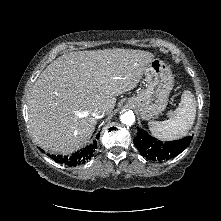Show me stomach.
I'll return each mask as SVG.
<instances>
[{"label":"stomach","mask_w":221,"mask_h":221,"mask_svg":"<svg viewBox=\"0 0 221 221\" xmlns=\"http://www.w3.org/2000/svg\"><path fill=\"white\" fill-rule=\"evenodd\" d=\"M146 88L128 99V105L134 107L144 120L152 119L162 113L174 86V77L167 65L153 59L144 71Z\"/></svg>","instance_id":"1"}]
</instances>
